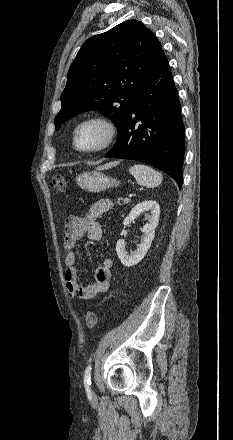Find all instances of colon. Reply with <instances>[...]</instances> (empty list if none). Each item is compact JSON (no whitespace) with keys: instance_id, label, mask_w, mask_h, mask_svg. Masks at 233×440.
<instances>
[{"instance_id":"1","label":"colon","mask_w":233,"mask_h":440,"mask_svg":"<svg viewBox=\"0 0 233 440\" xmlns=\"http://www.w3.org/2000/svg\"><path fill=\"white\" fill-rule=\"evenodd\" d=\"M50 186L54 191L62 192L65 188V179L62 175H54L50 180ZM86 326L90 329L94 328L97 324V315L95 312L90 311L85 318Z\"/></svg>"}]
</instances>
